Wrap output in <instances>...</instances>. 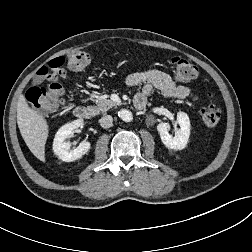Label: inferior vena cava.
I'll return each mask as SVG.
<instances>
[{
	"instance_id": "obj_1",
	"label": "inferior vena cava",
	"mask_w": 252,
	"mask_h": 252,
	"mask_svg": "<svg viewBox=\"0 0 252 252\" xmlns=\"http://www.w3.org/2000/svg\"><path fill=\"white\" fill-rule=\"evenodd\" d=\"M99 123H100L101 127H103V128H110L112 126V123H113V118H112L111 115L103 116L99 120Z\"/></svg>"
}]
</instances>
